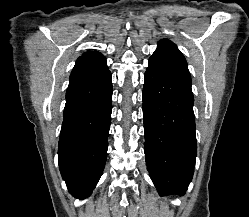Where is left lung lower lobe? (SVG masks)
<instances>
[{
	"label": "left lung lower lobe",
	"instance_id": "0a47b994",
	"mask_svg": "<svg viewBox=\"0 0 249 217\" xmlns=\"http://www.w3.org/2000/svg\"><path fill=\"white\" fill-rule=\"evenodd\" d=\"M188 69L149 59L143 88L145 158L158 192L185 194L197 154Z\"/></svg>",
	"mask_w": 249,
	"mask_h": 217
}]
</instances>
